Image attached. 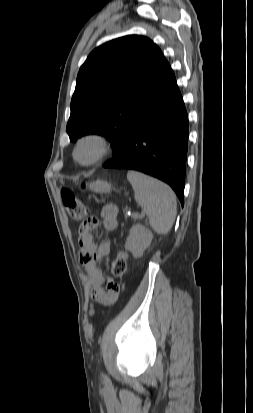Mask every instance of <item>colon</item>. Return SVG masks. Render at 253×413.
<instances>
[{"mask_svg": "<svg viewBox=\"0 0 253 413\" xmlns=\"http://www.w3.org/2000/svg\"><path fill=\"white\" fill-rule=\"evenodd\" d=\"M62 202L68 214L74 220H82L88 217L90 208L85 205L69 189H63L61 192ZM87 218L86 220H89ZM129 256L124 251H119L111 264V273H115L117 278L123 276L128 267Z\"/></svg>", "mask_w": 253, "mask_h": 413, "instance_id": "5ec220e1", "label": "colon"}]
</instances>
